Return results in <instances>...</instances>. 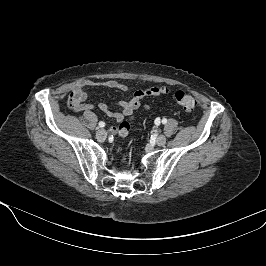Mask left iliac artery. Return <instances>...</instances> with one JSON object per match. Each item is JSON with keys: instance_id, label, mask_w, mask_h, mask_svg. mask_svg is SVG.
I'll return each instance as SVG.
<instances>
[{"instance_id": "44dca946", "label": "left iliac artery", "mask_w": 266, "mask_h": 266, "mask_svg": "<svg viewBox=\"0 0 266 266\" xmlns=\"http://www.w3.org/2000/svg\"><path fill=\"white\" fill-rule=\"evenodd\" d=\"M162 123H163V124H166V123H167V119L163 118V119H162Z\"/></svg>"}]
</instances>
